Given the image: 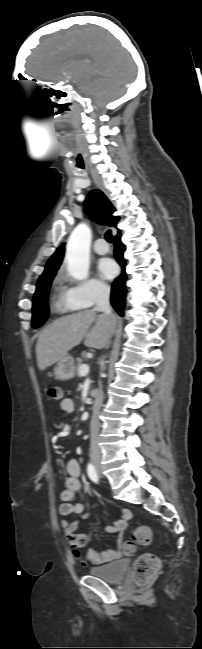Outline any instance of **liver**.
<instances>
[{
    "mask_svg": "<svg viewBox=\"0 0 202 649\" xmlns=\"http://www.w3.org/2000/svg\"><path fill=\"white\" fill-rule=\"evenodd\" d=\"M95 322L88 332L90 325ZM116 324L114 315H97L96 310H85L59 318L44 328L36 344V359L40 370L58 362L86 336L87 347L102 349L108 346Z\"/></svg>",
    "mask_w": 202,
    "mask_h": 649,
    "instance_id": "obj_1",
    "label": "liver"
}]
</instances>
